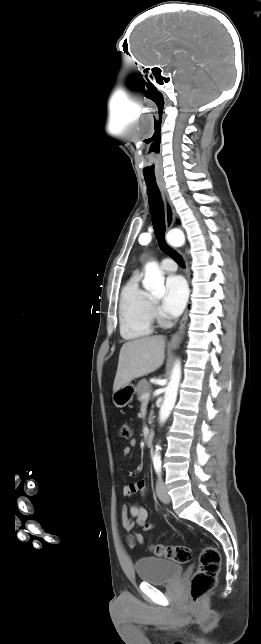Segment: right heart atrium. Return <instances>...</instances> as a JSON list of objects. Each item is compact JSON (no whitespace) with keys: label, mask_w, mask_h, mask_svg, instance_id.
<instances>
[{"label":"right heart atrium","mask_w":261,"mask_h":644,"mask_svg":"<svg viewBox=\"0 0 261 644\" xmlns=\"http://www.w3.org/2000/svg\"><path fill=\"white\" fill-rule=\"evenodd\" d=\"M153 313H154V316L159 317V310L155 305H153Z\"/></svg>","instance_id":"d8ad5b80"}]
</instances>
